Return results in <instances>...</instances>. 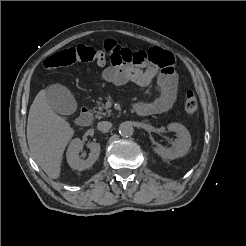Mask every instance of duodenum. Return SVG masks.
Here are the masks:
<instances>
[{"mask_svg": "<svg viewBox=\"0 0 246 246\" xmlns=\"http://www.w3.org/2000/svg\"><path fill=\"white\" fill-rule=\"evenodd\" d=\"M91 120H92V114L90 110L86 107H82L76 118V123L79 126H88L91 123Z\"/></svg>", "mask_w": 246, "mask_h": 246, "instance_id": "1", "label": "duodenum"}]
</instances>
